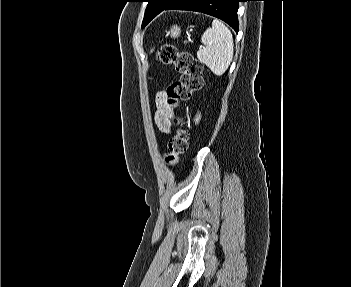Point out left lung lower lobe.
<instances>
[{
	"mask_svg": "<svg viewBox=\"0 0 351 287\" xmlns=\"http://www.w3.org/2000/svg\"><path fill=\"white\" fill-rule=\"evenodd\" d=\"M242 0H174L164 10H189L217 17L238 32L237 10ZM162 12V11H161Z\"/></svg>",
	"mask_w": 351,
	"mask_h": 287,
	"instance_id": "left-lung-lower-lobe-1",
	"label": "left lung lower lobe"
}]
</instances>
